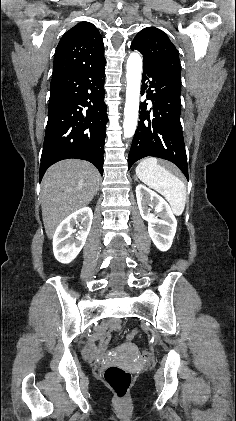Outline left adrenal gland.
<instances>
[{"label": "left adrenal gland", "mask_w": 236, "mask_h": 421, "mask_svg": "<svg viewBox=\"0 0 236 421\" xmlns=\"http://www.w3.org/2000/svg\"><path fill=\"white\" fill-rule=\"evenodd\" d=\"M134 180H138V178H137L136 174H134Z\"/></svg>", "instance_id": "1"}]
</instances>
